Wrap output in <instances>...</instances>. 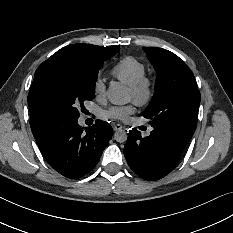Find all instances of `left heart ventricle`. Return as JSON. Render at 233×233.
<instances>
[{
	"instance_id": "1",
	"label": "left heart ventricle",
	"mask_w": 233,
	"mask_h": 233,
	"mask_svg": "<svg viewBox=\"0 0 233 233\" xmlns=\"http://www.w3.org/2000/svg\"><path fill=\"white\" fill-rule=\"evenodd\" d=\"M129 92H130V96H131V97H133V95H132V93H131V91H130V90H129Z\"/></svg>"
}]
</instances>
